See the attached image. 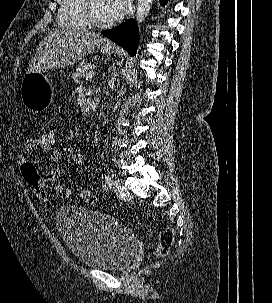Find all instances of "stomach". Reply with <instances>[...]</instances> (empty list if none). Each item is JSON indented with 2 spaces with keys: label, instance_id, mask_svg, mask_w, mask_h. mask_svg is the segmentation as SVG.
<instances>
[{
  "label": "stomach",
  "instance_id": "0dacf381",
  "mask_svg": "<svg viewBox=\"0 0 272 303\" xmlns=\"http://www.w3.org/2000/svg\"><path fill=\"white\" fill-rule=\"evenodd\" d=\"M115 50L110 45H103L101 48V52L105 55H112ZM20 91L22 103L28 110H43L52 102L54 85L43 72H31L23 77Z\"/></svg>",
  "mask_w": 272,
  "mask_h": 303
}]
</instances>
